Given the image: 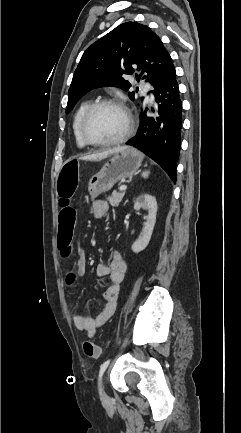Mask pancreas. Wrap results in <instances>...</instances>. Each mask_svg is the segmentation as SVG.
<instances>
[{"label": "pancreas", "instance_id": "pancreas-1", "mask_svg": "<svg viewBox=\"0 0 241 433\" xmlns=\"http://www.w3.org/2000/svg\"><path fill=\"white\" fill-rule=\"evenodd\" d=\"M124 195V192H113L111 196L107 197V200L112 207H117L122 201Z\"/></svg>", "mask_w": 241, "mask_h": 433}]
</instances>
